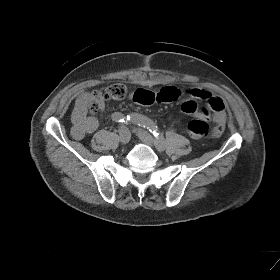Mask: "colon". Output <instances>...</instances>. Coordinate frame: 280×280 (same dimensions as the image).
Wrapping results in <instances>:
<instances>
[{"mask_svg":"<svg viewBox=\"0 0 280 280\" xmlns=\"http://www.w3.org/2000/svg\"><path fill=\"white\" fill-rule=\"evenodd\" d=\"M127 93L124 84L115 83L101 90L93 91L87 98V107L90 111L95 112L98 104L103 100H119L125 97ZM188 132L196 137H207L210 135H219L222 129L211 127L205 120L194 119L188 123Z\"/></svg>","mask_w":280,"mask_h":280,"instance_id":"colon-1","label":"colon"}]
</instances>
